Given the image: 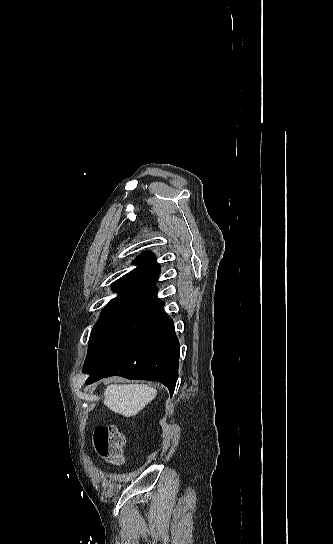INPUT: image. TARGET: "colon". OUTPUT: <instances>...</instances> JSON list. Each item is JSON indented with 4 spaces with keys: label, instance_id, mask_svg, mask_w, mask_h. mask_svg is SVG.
<instances>
[{
    "label": "colon",
    "instance_id": "5ec220e1",
    "mask_svg": "<svg viewBox=\"0 0 333 544\" xmlns=\"http://www.w3.org/2000/svg\"><path fill=\"white\" fill-rule=\"evenodd\" d=\"M93 444L98 455L109 463L121 465L124 462L125 438L116 427L96 428L93 433Z\"/></svg>",
    "mask_w": 333,
    "mask_h": 544
}]
</instances>
